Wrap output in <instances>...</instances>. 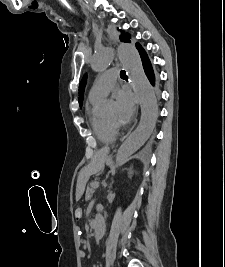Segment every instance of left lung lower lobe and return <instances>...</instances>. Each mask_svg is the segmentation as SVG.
Listing matches in <instances>:
<instances>
[{
  "label": "left lung lower lobe",
  "instance_id": "0a47b994",
  "mask_svg": "<svg viewBox=\"0 0 225 267\" xmlns=\"http://www.w3.org/2000/svg\"><path fill=\"white\" fill-rule=\"evenodd\" d=\"M136 48L139 51L145 74H146L147 78L149 79L150 83L153 86H155L157 84V79H156V76L154 74V71H153V68H152V65L150 63V60L148 58L147 53L145 52V50L143 49V47L139 43H136Z\"/></svg>",
  "mask_w": 225,
  "mask_h": 267
}]
</instances>
